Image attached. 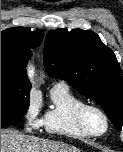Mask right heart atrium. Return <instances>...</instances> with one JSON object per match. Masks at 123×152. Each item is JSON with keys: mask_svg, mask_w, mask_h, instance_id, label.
<instances>
[{"mask_svg": "<svg viewBox=\"0 0 123 152\" xmlns=\"http://www.w3.org/2000/svg\"><path fill=\"white\" fill-rule=\"evenodd\" d=\"M23 120L28 130L37 129L42 125L40 101L36 97L29 98L23 113Z\"/></svg>", "mask_w": 123, "mask_h": 152, "instance_id": "1", "label": "right heart atrium"}]
</instances>
